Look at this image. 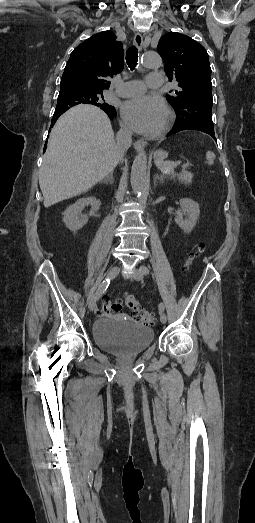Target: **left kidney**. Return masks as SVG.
<instances>
[{
  "label": "left kidney",
  "mask_w": 255,
  "mask_h": 523,
  "mask_svg": "<svg viewBox=\"0 0 255 523\" xmlns=\"http://www.w3.org/2000/svg\"><path fill=\"white\" fill-rule=\"evenodd\" d=\"M180 206L184 216H187V220H183V214H178V216H175V222L181 230L188 234L196 226V220L199 218V204H196L190 198H183V200H180Z\"/></svg>",
  "instance_id": "5707ae66"
}]
</instances>
